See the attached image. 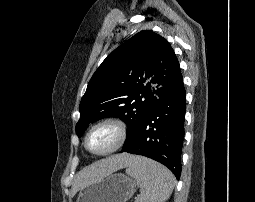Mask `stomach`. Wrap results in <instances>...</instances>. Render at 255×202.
Wrapping results in <instances>:
<instances>
[{
	"label": "stomach",
	"mask_w": 255,
	"mask_h": 202,
	"mask_svg": "<svg viewBox=\"0 0 255 202\" xmlns=\"http://www.w3.org/2000/svg\"><path fill=\"white\" fill-rule=\"evenodd\" d=\"M135 187V181L124 174H110L79 189L76 202H126Z\"/></svg>",
	"instance_id": "stomach-1"
}]
</instances>
